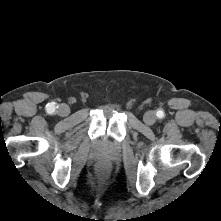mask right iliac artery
<instances>
[{"label": "right iliac artery", "mask_w": 221, "mask_h": 221, "mask_svg": "<svg viewBox=\"0 0 221 221\" xmlns=\"http://www.w3.org/2000/svg\"><path fill=\"white\" fill-rule=\"evenodd\" d=\"M46 110H47V112H48L49 114H52V113L55 112L56 106H55L53 103H48V104L46 105Z\"/></svg>", "instance_id": "right-iliac-artery-1"}]
</instances>
